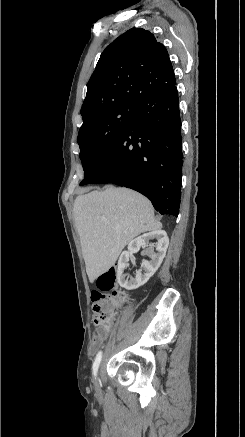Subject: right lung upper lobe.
<instances>
[{
    "label": "right lung upper lobe",
    "instance_id": "obj_1",
    "mask_svg": "<svg viewBox=\"0 0 245 437\" xmlns=\"http://www.w3.org/2000/svg\"><path fill=\"white\" fill-rule=\"evenodd\" d=\"M176 79L168 52L155 36L131 28L102 52L87 83L81 108L83 120L101 108L118 103L163 97L175 91Z\"/></svg>",
    "mask_w": 245,
    "mask_h": 437
}]
</instances>
